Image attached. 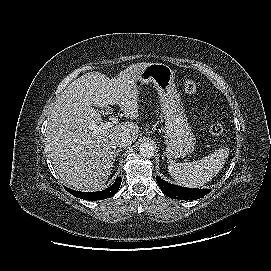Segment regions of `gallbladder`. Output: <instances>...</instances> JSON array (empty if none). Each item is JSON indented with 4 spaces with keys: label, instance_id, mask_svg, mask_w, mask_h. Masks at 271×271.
<instances>
[{
    "label": "gallbladder",
    "instance_id": "1",
    "mask_svg": "<svg viewBox=\"0 0 271 271\" xmlns=\"http://www.w3.org/2000/svg\"><path fill=\"white\" fill-rule=\"evenodd\" d=\"M103 110H104V111H107V110H108V108H107V107H104V108H103Z\"/></svg>",
    "mask_w": 271,
    "mask_h": 271
}]
</instances>
